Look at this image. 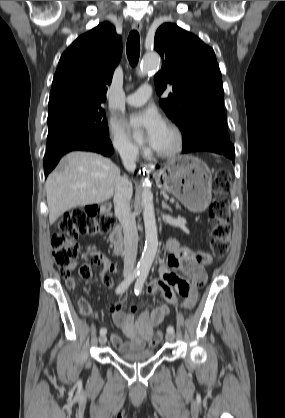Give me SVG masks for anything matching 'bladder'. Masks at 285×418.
Here are the masks:
<instances>
[{
	"instance_id": "bladder-1",
	"label": "bladder",
	"mask_w": 285,
	"mask_h": 418,
	"mask_svg": "<svg viewBox=\"0 0 285 418\" xmlns=\"http://www.w3.org/2000/svg\"><path fill=\"white\" fill-rule=\"evenodd\" d=\"M116 356L120 359L127 361V362H142L146 361L154 356L152 349H144V350H128V351H116Z\"/></svg>"
}]
</instances>
